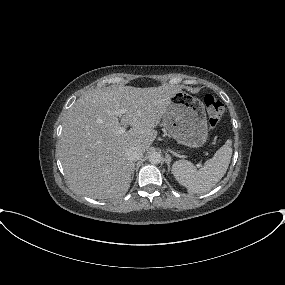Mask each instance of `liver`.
I'll list each match as a JSON object with an SVG mask.
<instances>
[{"label":"liver","instance_id":"liver-1","mask_svg":"<svg viewBox=\"0 0 285 285\" xmlns=\"http://www.w3.org/2000/svg\"><path fill=\"white\" fill-rule=\"evenodd\" d=\"M180 87L164 84L138 88L120 86L88 91L68 110L59 145V158L69 183L93 199H116L130 187L134 163L127 150H147L155 128ZM125 109L122 116L115 111ZM123 125L131 128L124 133Z\"/></svg>","mask_w":285,"mask_h":285}]
</instances>
